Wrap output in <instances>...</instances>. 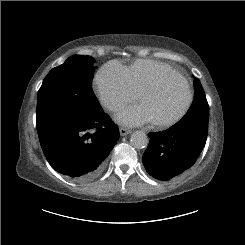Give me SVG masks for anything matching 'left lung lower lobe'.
Masks as SVG:
<instances>
[{"instance_id":"obj_1","label":"left lung lower lobe","mask_w":245,"mask_h":245,"mask_svg":"<svg viewBox=\"0 0 245 245\" xmlns=\"http://www.w3.org/2000/svg\"><path fill=\"white\" fill-rule=\"evenodd\" d=\"M208 132L191 128H169L149 133L143 164L150 175L170 180L187 171L200 156Z\"/></svg>"}]
</instances>
